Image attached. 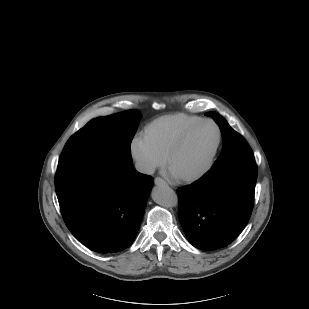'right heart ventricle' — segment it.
Returning <instances> with one entry per match:
<instances>
[{"label":"right heart ventricle","mask_w":309,"mask_h":309,"mask_svg":"<svg viewBox=\"0 0 309 309\" xmlns=\"http://www.w3.org/2000/svg\"><path fill=\"white\" fill-rule=\"evenodd\" d=\"M201 117L188 114L165 115L151 121L144 130V138L149 145L163 158L175 140Z\"/></svg>","instance_id":"1"}]
</instances>
